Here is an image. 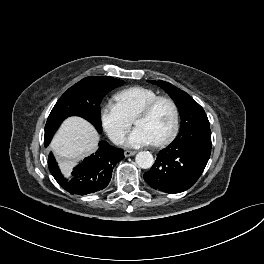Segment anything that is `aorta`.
<instances>
[{
    "mask_svg": "<svg viewBox=\"0 0 264 264\" xmlns=\"http://www.w3.org/2000/svg\"><path fill=\"white\" fill-rule=\"evenodd\" d=\"M136 164L143 169L150 168L153 163V155L149 151H141L136 155L135 158Z\"/></svg>",
    "mask_w": 264,
    "mask_h": 264,
    "instance_id": "obj_1",
    "label": "aorta"
}]
</instances>
